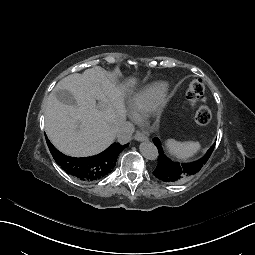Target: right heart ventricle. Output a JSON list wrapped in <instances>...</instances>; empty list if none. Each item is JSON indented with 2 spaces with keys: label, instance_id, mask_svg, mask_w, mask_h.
I'll use <instances>...</instances> for the list:
<instances>
[{
  "label": "right heart ventricle",
  "instance_id": "1",
  "mask_svg": "<svg viewBox=\"0 0 255 255\" xmlns=\"http://www.w3.org/2000/svg\"><path fill=\"white\" fill-rule=\"evenodd\" d=\"M164 90V84L155 83L144 87L132 95L128 101L130 112L134 117H140L149 112Z\"/></svg>",
  "mask_w": 255,
  "mask_h": 255
}]
</instances>
